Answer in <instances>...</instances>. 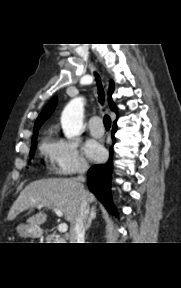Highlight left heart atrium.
I'll list each match as a JSON object with an SVG mask.
<instances>
[{
  "label": "left heart atrium",
  "instance_id": "39dd6f15",
  "mask_svg": "<svg viewBox=\"0 0 181 288\" xmlns=\"http://www.w3.org/2000/svg\"><path fill=\"white\" fill-rule=\"evenodd\" d=\"M86 155L93 160H100L104 156L103 148L94 141H89L84 147Z\"/></svg>",
  "mask_w": 181,
  "mask_h": 288
}]
</instances>
